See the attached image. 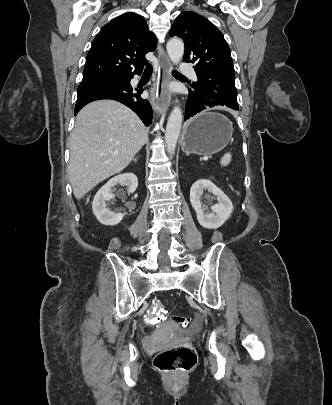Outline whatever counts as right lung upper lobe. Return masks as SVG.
<instances>
[{"mask_svg": "<svg viewBox=\"0 0 332 405\" xmlns=\"http://www.w3.org/2000/svg\"><path fill=\"white\" fill-rule=\"evenodd\" d=\"M155 49V35L145 19L128 12L106 24L95 37L83 77L129 76L142 72L145 54ZM134 66V67H133Z\"/></svg>", "mask_w": 332, "mask_h": 405, "instance_id": "cb5924a9", "label": "right lung upper lobe"}]
</instances>
